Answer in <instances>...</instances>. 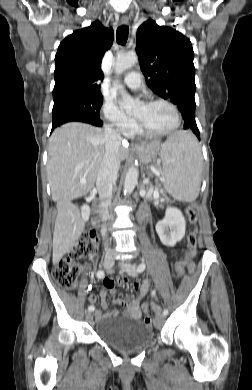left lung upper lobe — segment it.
I'll list each match as a JSON object with an SVG mask.
<instances>
[{
    "mask_svg": "<svg viewBox=\"0 0 252 390\" xmlns=\"http://www.w3.org/2000/svg\"><path fill=\"white\" fill-rule=\"evenodd\" d=\"M136 53L153 92L176 104L183 118L195 115V67L190 40L148 19L138 28Z\"/></svg>",
    "mask_w": 252,
    "mask_h": 390,
    "instance_id": "5c2ea615",
    "label": "left lung upper lobe"
}]
</instances>
